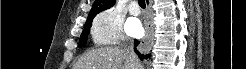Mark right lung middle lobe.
Segmentation results:
<instances>
[{
    "instance_id": "dd1d6c3e",
    "label": "right lung middle lobe",
    "mask_w": 246,
    "mask_h": 69,
    "mask_svg": "<svg viewBox=\"0 0 246 69\" xmlns=\"http://www.w3.org/2000/svg\"><path fill=\"white\" fill-rule=\"evenodd\" d=\"M91 24H92V21L86 22L84 26V30L80 36L79 45H78L79 47H84L86 45V41H87L88 33L90 31Z\"/></svg>"
}]
</instances>
